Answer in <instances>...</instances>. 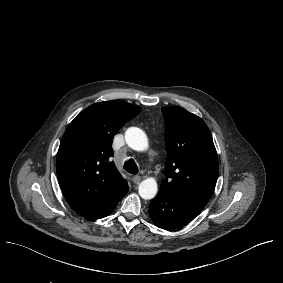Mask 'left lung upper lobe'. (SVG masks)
<instances>
[{
  "label": "left lung upper lobe",
  "mask_w": 283,
  "mask_h": 283,
  "mask_svg": "<svg viewBox=\"0 0 283 283\" xmlns=\"http://www.w3.org/2000/svg\"><path fill=\"white\" fill-rule=\"evenodd\" d=\"M168 159L160 191L206 204L218 178V156L205 122L181 107H163Z\"/></svg>",
  "instance_id": "left-lung-upper-lobe-1"
}]
</instances>
